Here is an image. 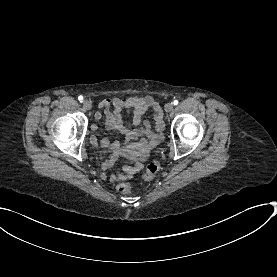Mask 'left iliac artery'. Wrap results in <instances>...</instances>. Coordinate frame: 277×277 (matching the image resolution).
Wrapping results in <instances>:
<instances>
[{
    "instance_id": "1",
    "label": "left iliac artery",
    "mask_w": 277,
    "mask_h": 277,
    "mask_svg": "<svg viewBox=\"0 0 277 277\" xmlns=\"http://www.w3.org/2000/svg\"><path fill=\"white\" fill-rule=\"evenodd\" d=\"M173 104L177 105L178 104V100H174Z\"/></svg>"
}]
</instances>
